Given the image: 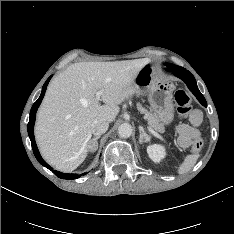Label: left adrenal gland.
<instances>
[{"mask_svg":"<svg viewBox=\"0 0 234 234\" xmlns=\"http://www.w3.org/2000/svg\"><path fill=\"white\" fill-rule=\"evenodd\" d=\"M139 143L142 144L143 142H149L150 141V136L145 132L144 128L142 126H139Z\"/></svg>","mask_w":234,"mask_h":234,"instance_id":"a2214340","label":"left adrenal gland"}]
</instances>
